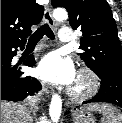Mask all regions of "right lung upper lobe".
Returning <instances> with one entry per match:
<instances>
[{
	"label": "right lung upper lobe",
	"mask_w": 122,
	"mask_h": 123,
	"mask_svg": "<svg viewBox=\"0 0 122 123\" xmlns=\"http://www.w3.org/2000/svg\"><path fill=\"white\" fill-rule=\"evenodd\" d=\"M43 13L35 0H1V44L25 43Z\"/></svg>",
	"instance_id": "right-lung-upper-lobe-1"
}]
</instances>
